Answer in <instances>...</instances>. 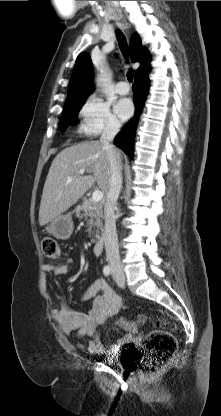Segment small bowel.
<instances>
[{"mask_svg":"<svg viewBox=\"0 0 221 416\" xmlns=\"http://www.w3.org/2000/svg\"><path fill=\"white\" fill-rule=\"evenodd\" d=\"M73 264V258H64L59 263H45L42 266L41 276L45 280L48 274L55 276L65 275ZM81 299L84 302L93 301L92 308L88 313L69 309L64 299L51 312L53 319L59 324L61 331L65 335L76 334L78 337H88V343L86 345L79 344L80 348L85 349L90 354L111 355L122 346L133 341L131 335H124L116 344L108 348L101 343L97 327L108 318L117 315L122 307L121 297L104 279L99 278L93 281L84 290Z\"/></svg>","mask_w":221,"mask_h":416,"instance_id":"small-bowel-1","label":"small bowel"}]
</instances>
